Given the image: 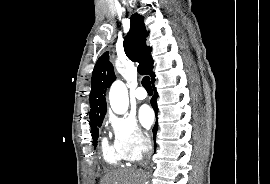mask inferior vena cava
<instances>
[{"label":"inferior vena cava","instance_id":"inferior-vena-cava-1","mask_svg":"<svg viewBox=\"0 0 270 184\" xmlns=\"http://www.w3.org/2000/svg\"><path fill=\"white\" fill-rule=\"evenodd\" d=\"M143 148H144V160L140 163L141 166L146 167L149 163L151 154H152V144L150 139H143Z\"/></svg>","mask_w":270,"mask_h":184}]
</instances>
